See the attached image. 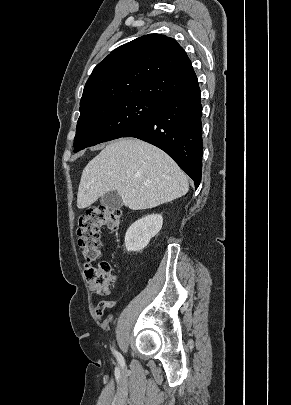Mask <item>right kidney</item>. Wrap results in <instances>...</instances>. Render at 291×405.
<instances>
[{
    "instance_id": "right-kidney-1",
    "label": "right kidney",
    "mask_w": 291,
    "mask_h": 405,
    "mask_svg": "<svg viewBox=\"0 0 291 405\" xmlns=\"http://www.w3.org/2000/svg\"><path fill=\"white\" fill-rule=\"evenodd\" d=\"M163 224L160 214L147 215L134 222L125 234L126 250L139 252L150 242L151 238L158 234Z\"/></svg>"
}]
</instances>
